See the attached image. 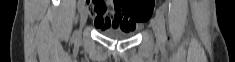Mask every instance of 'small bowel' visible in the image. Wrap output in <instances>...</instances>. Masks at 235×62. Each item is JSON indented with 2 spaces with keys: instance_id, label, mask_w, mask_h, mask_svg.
<instances>
[{
  "instance_id": "small-bowel-1",
  "label": "small bowel",
  "mask_w": 235,
  "mask_h": 62,
  "mask_svg": "<svg viewBox=\"0 0 235 62\" xmlns=\"http://www.w3.org/2000/svg\"><path fill=\"white\" fill-rule=\"evenodd\" d=\"M120 3L115 4L113 8H109L105 3L91 7L90 14L97 30H135L137 28L140 23L135 24L132 18L124 13Z\"/></svg>"
}]
</instances>
